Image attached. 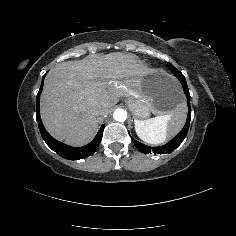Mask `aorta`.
Returning a JSON list of instances; mask_svg holds the SVG:
<instances>
[{
  "label": "aorta",
  "mask_w": 236,
  "mask_h": 236,
  "mask_svg": "<svg viewBox=\"0 0 236 236\" xmlns=\"http://www.w3.org/2000/svg\"><path fill=\"white\" fill-rule=\"evenodd\" d=\"M113 117L116 121L121 122V121L126 120L127 113L123 109L117 108L113 113Z\"/></svg>",
  "instance_id": "aorta-1"
}]
</instances>
